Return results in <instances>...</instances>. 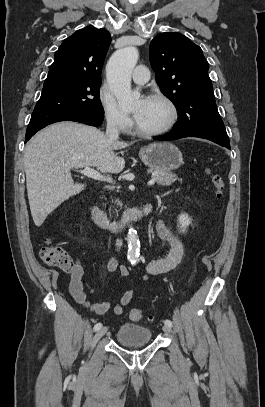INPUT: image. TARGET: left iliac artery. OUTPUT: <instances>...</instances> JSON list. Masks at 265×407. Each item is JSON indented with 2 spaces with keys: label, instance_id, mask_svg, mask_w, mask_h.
Returning <instances> with one entry per match:
<instances>
[{
  "label": "left iliac artery",
  "instance_id": "left-iliac-artery-1",
  "mask_svg": "<svg viewBox=\"0 0 265 407\" xmlns=\"http://www.w3.org/2000/svg\"><path fill=\"white\" fill-rule=\"evenodd\" d=\"M164 323H165V325H168L170 327L172 326L171 320L166 319Z\"/></svg>",
  "mask_w": 265,
  "mask_h": 407
}]
</instances>
